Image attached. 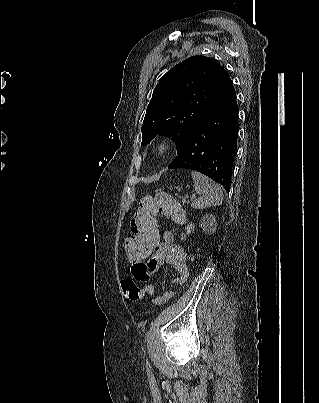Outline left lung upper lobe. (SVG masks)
<instances>
[{
	"label": "left lung upper lobe",
	"instance_id": "obj_1",
	"mask_svg": "<svg viewBox=\"0 0 319 403\" xmlns=\"http://www.w3.org/2000/svg\"><path fill=\"white\" fill-rule=\"evenodd\" d=\"M212 58L192 56L174 66L157 83L142 125V144L168 135L178 155L186 148L198 122L229 80Z\"/></svg>",
	"mask_w": 319,
	"mask_h": 403
}]
</instances>
